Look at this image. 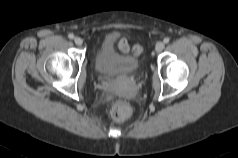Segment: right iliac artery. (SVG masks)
Instances as JSON below:
<instances>
[{
    "label": "right iliac artery",
    "mask_w": 238,
    "mask_h": 158,
    "mask_svg": "<svg viewBox=\"0 0 238 158\" xmlns=\"http://www.w3.org/2000/svg\"><path fill=\"white\" fill-rule=\"evenodd\" d=\"M68 37H69L70 39H73V38H74V35H73L72 33H70V34L68 35Z\"/></svg>",
    "instance_id": "obj_1"
}]
</instances>
